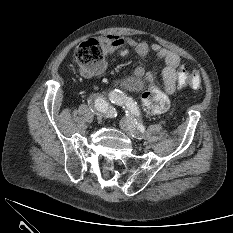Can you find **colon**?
Here are the masks:
<instances>
[{
    "label": "colon",
    "mask_w": 233,
    "mask_h": 233,
    "mask_svg": "<svg viewBox=\"0 0 233 233\" xmlns=\"http://www.w3.org/2000/svg\"><path fill=\"white\" fill-rule=\"evenodd\" d=\"M76 59L84 73L93 72L103 66L104 51L102 43L97 39L82 42L76 50ZM177 84L180 88L201 87V77L196 70L181 68L178 71ZM142 109L145 113L153 115L165 112L169 108L168 97L157 89H152L142 95Z\"/></svg>",
    "instance_id": "colon-1"
}]
</instances>
